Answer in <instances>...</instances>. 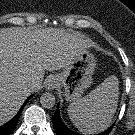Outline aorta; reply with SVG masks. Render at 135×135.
Listing matches in <instances>:
<instances>
[{
	"instance_id": "1",
	"label": "aorta",
	"mask_w": 135,
	"mask_h": 135,
	"mask_svg": "<svg viewBox=\"0 0 135 135\" xmlns=\"http://www.w3.org/2000/svg\"><path fill=\"white\" fill-rule=\"evenodd\" d=\"M40 103L42 107L50 109L54 107L56 103L55 96L49 92L43 93L40 97Z\"/></svg>"
}]
</instances>
